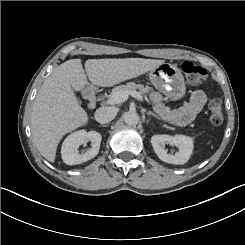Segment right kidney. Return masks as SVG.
Instances as JSON below:
<instances>
[{
    "label": "right kidney",
    "instance_id": "right-kidney-1",
    "mask_svg": "<svg viewBox=\"0 0 245 245\" xmlns=\"http://www.w3.org/2000/svg\"><path fill=\"white\" fill-rule=\"evenodd\" d=\"M102 136L96 131L87 132L80 129L70 133L61 146V158L67 165L80 164L95 157L99 152ZM91 142V148L82 150L79 154L80 146Z\"/></svg>",
    "mask_w": 245,
    "mask_h": 245
}]
</instances>
